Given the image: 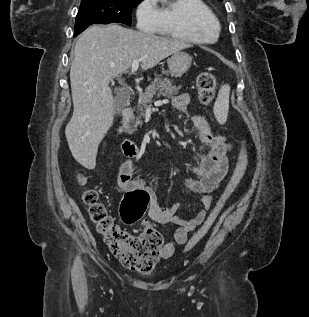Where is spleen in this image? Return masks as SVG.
Here are the masks:
<instances>
[{"instance_id":"spleen-1","label":"spleen","mask_w":309,"mask_h":317,"mask_svg":"<svg viewBox=\"0 0 309 317\" xmlns=\"http://www.w3.org/2000/svg\"><path fill=\"white\" fill-rule=\"evenodd\" d=\"M230 86L228 84L220 87L218 97L214 104V115L217 121L224 124L227 120L229 110Z\"/></svg>"}]
</instances>
